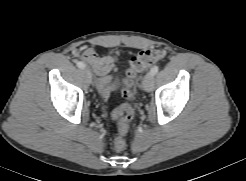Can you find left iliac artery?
I'll return each mask as SVG.
<instances>
[{"instance_id": "obj_1", "label": "left iliac artery", "mask_w": 246, "mask_h": 181, "mask_svg": "<svg viewBox=\"0 0 246 181\" xmlns=\"http://www.w3.org/2000/svg\"><path fill=\"white\" fill-rule=\"evenodd\" d=\"M158 70H159V67H158V66H154V67L151 69V73H152L153 75H155V74H157Z\"/></svg>"}]
</instances>
